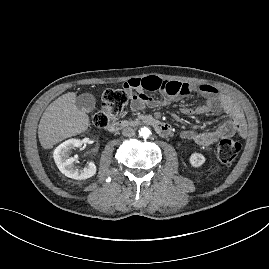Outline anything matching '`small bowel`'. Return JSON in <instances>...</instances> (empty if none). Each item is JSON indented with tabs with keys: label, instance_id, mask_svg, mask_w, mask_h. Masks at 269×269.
<instances>
[{
	"label": "small bowel",
	"instance_id": "small-bowel-1",
	"mask_svg": "<svg viewBox=\"0 0 269 269\" xmlns=\"http://www.w3.org/2000/svg\"><path fill=\"white\" fill-rule=\"evenodd\" d=\"M124 85L129 89L131 109L133 111H141L145 107H162L167 105L171 100H180L192 93H198L205 98V103L194 109L184 108L183 112L185 114L225 113L227 120L213 131L188 129L182 133L184 139L190 140L200 147L214 145L219 140L233 134L240 136L246 135V121L241 109L214 86L164 81L156 76L142 79L133 78L125 82ZM148 91H158L162 94V97H152L146 93Z\"/></svg>",
	"mask_w": 269,
	"mask_h": 269
}]
</instances>
